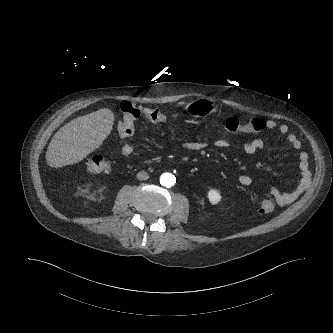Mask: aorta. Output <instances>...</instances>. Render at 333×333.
<instances>
[{
  "label": "aorta",
  "mask_w": 333,
  "mask_h": 333,
  "mask_svg": "<svg viewBox=\"0 0 333 333\" xmlns=\"http://www.w3.org/2000/svg\"><path fill=\"white\" fill-rule=\"evenodd\" d=\"M160 183L165 187H172L175 183V178L170 173H164L161 175Z\"/></svg>",
  "instance_id": "obj_1"
}]
</instances>
